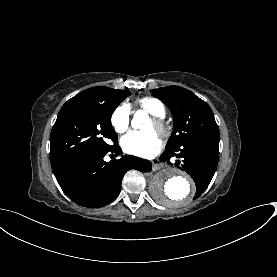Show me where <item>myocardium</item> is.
<instances>
[{
  "mask_svg": "<svg viewBox=\"0 0 277 277\" xmlns=\"http://www.w3.org/2000/svg\"><path fill=\"white\" fill-rule=\"evenodd\" d=\"M151 120L154 125V130L160 134V135H165L167 133V127L165 125V122L162 117L160 116H152Z\"/></svg>",
  "mask_w": 277,
  "mask_h": 277,
  "instance_id": "1",
  "label": "myocardium"
}]
</instances>
